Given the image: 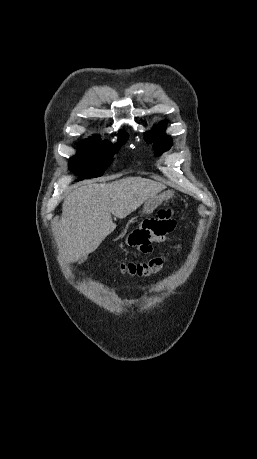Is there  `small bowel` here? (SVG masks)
Returning a JSON list of instances; mask_svg holds the SVG:
<instances>
[{"mask_svg": "<svg viewBox=\"0 0 257 459\" xmlns=\"http://www.w3.org/2000/svg\"><path fill=\"white\" fill-rule=\"evenodd\" d=\"M171 211H156L155 217H146L145 223H136L130 235H126L124 246L139 248L140 254L151 252V240H158L159 236H166L172 229H176L177 222Z\"/></svg>", "mask_w": 257, "mask_h": 459, "instance_id": "1", "label": "small bowel"}]
</instances>
